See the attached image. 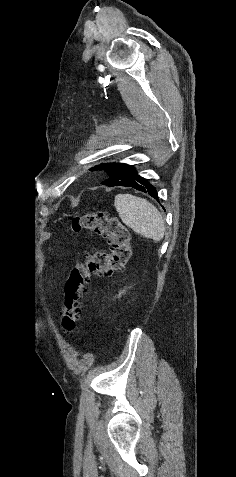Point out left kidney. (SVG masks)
Masks as SVG:
<instances>
[{
    "label": "left kidney",
    "instance_id": "1",
    "mask_svg": "<svg viewBox=\"0 0 236 477\" xmlns=\"http://www.w3.org/2000/svg\"><path fill=\"white\" fill-rule=\"evenodd\" d=\"M123 292H124V291H123ZM123 292H120V293H119V297L121 296V294H122Z\"/></svg>",
    "mask_w": 236,
    "mask_h": 477
}]
</instances>
